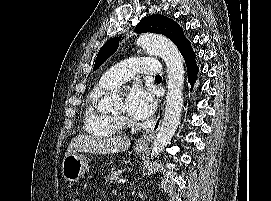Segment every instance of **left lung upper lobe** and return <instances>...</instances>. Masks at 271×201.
Instances as JSON below:
<instances>
[{"mask_svg":"<svg viewBox=\"0 0 271 201\" xmlns=\"http://www.w3.org/2000/svg\"><path fill=\"white\" fill-rule=\"evenodd\" d=\"M135 32H152L165 35L175 43L178 49L188 42L179 25L174 20L163 15L144 17L136 25ZM120 40L121 37L113 38L102 46L97 55L93 71L97 70L117 50Z\"/></svg>","mask_w":271,"mask_h":201,"instance_id":"1","label":"left lung upper lobe"}]
</instances>
